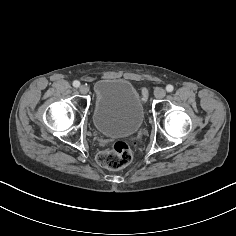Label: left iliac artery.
Wrapping results in <instances>:
<instances>
[{
  "mask_svg": "<svg viewBox=\"0 0 236 236\" xmlns=\"http://www.w3.org/2000/svg\"><path fill=\"white\" fill-rule=\"evenodd\" d=\"M173 89H174V87L172 85H170V84L166 86L167 92H172Z\"/></svg>",
  "mask_w": 236,
  "mask_h": 236,
  "instance_id": "1",
  "label": "left iliac artery"
}]
</instances>
